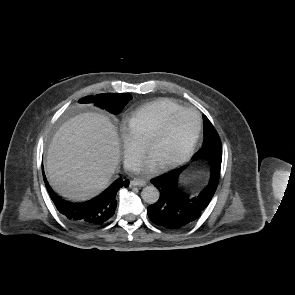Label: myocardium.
I'll return each mask as SVG.
<instances>
[{"label":"myocardium","mask_w":295,"mask_h":295,"mask_svg":"<svg viewBox=\"0 0 295 295\" xmlns=\"http://www.w3.org/2000/svg\"><path fill=\"white\" fill-rule=\"evenodd\" d=\"M182 114H192L195 117L196 127H195L194 134H193L189 144L185 148V150L175 159L160 165L161 170H167L170 168H174V167L182 164L183 162H185L193 153V151L197 145V142L199 140L200 133H201V118H200L199 114L193 109L182 108V109L172 113L161 124V126L151 135V137L147 140V142L145 144L146 152L148 154L150 153L151 148L164 136V134L167 132V130L169 129L170 125L175 120V118H177L179 115H182Z\"/></svg>","instance_id":"1"}]
</instances>
